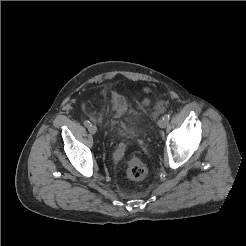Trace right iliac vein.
Returning <instances> with one entry per match:
<instances>
[{"label": "right iliac vein", "instance_id": "obj_1", "mask_svg": "<svg viewBox=\"0 0 246 246\" xmlns=\"http://www.w3.org/2000/svg\"><path fill=\"white\" fill-rule=\"evenodd\" d=\"M89 132H90L91 134H95V133L97 132V127H96L95 125H91V126L89 127Z\"/></svg>", "mask_w": 246, "mask_h": 246}]
</instances>
